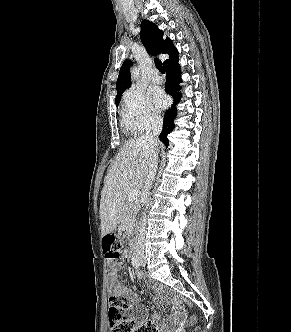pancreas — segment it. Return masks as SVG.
I'll return each mask as SVG.
<instances>
[{"mask_svg": "<svg viewBox=\"0 0 291 332\" xmlns=\"http://www.w3.org/2000/svg\"><path fill=\"white\" fill-rule=\"evenodd\" d=\"M139 207L140 204L138 202L124 201L122 222L123 230L127 231L128 233L133 229Z\"/></svg>", "mask_w": 291, "mask_h": 332, "instance_id": "cf45deb5", "label": "pancreas"}]
</instances>
